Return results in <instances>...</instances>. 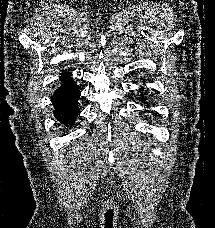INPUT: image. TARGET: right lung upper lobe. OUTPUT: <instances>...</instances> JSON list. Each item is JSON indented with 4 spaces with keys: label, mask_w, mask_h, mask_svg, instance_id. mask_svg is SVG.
I'll use <instances>...</instances> for the list:
<instances>
[{
    "label": "right lung upper lobe",
    "mask_w": 215,
    "mask_h": 228,
    "mask_svg": "<svg viewBox=\"0 0 215 228\" xmlns=\"http://www.w3.org/2000/svg\"><path fill=\"white\" fill-rule=\"evenodd\" d=\"M70 74L69 73H63L61 76H69Z\"/></svg>",
    "instance_id": "obj_1"
}]
</instances>
